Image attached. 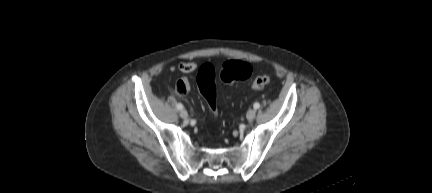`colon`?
Instances as JSON below:
<instances>
[{
	"mask_svg": "<svg viewBox=\"0 0 432 193\" xmlns=\"http://www.w3.org/2000/svg\"><path fill=\"white\" fill-rule=\"evenodd\" d=\"M250 64L244 61L231 60L224 63L219 78L225 83L243 80L251 75ZM270 83V77L266 74L256 76L252 81L253 89H262ZM197 85L213 115H217V97L215 88V69L211 64H204L197 76ZM179 91H183L179 88Z\"/></svg>",
	"mask_w": 432,
	"mask_h": 193,
	"instance_id": "colon-1",
	"label": "colon"
}]
</instances>
